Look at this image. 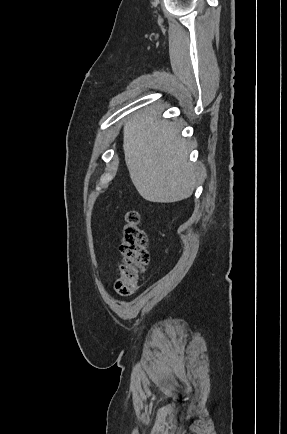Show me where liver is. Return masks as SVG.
I'll list each match as a JSON object with an SVG mask.
<instances>
[{
	"label": "liver",
	"instance_id": "liver-1",
	"mask_svg": "<svg viewBox=\"0 0 287 434\" xmlns=\"http://www.w3.org/2000/svg\"><path fill=\"white\" fill-rule=\"evenodd\" d=\"M123 149L131 180L147 201L173 203L189 198L198 172L188 161L187 142L173 123L152 107L124 124Z\"/></svg>",
	"mask_w": 287,
	"mask_h": 434
}]
</instances>
